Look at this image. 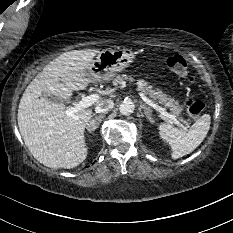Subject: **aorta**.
<instances>
[{
  "mask_svg": "<svg viewBox=\"0 0 233 233\" xmlns=\"http://www.w3.org/2000/svg\"><path fill=\"white\" fill-rule=\"evenodd\" d=\"M134 109L135 105L131 100L123 101L119 107L120 113L125 116L132 114L134 112Z\"/></svg>",
  "mask_w": 233,
  "mask_h": 233,
  "instance_id": "1",
  "label": "aorta"
}]
</instances>
